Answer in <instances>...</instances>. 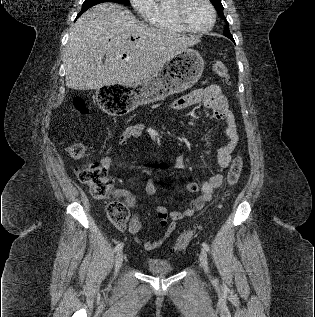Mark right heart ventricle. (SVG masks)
I'll list each match as a JSON object with an SVG mask.
<instances>
[{
  "mask_svg": "<svg viewBox=\"0 0 315 317\" xmlns=\"http://www.w3.org/2000/svg\"><path fill=\"white\" fill-rule=\"evenodd\" d=\"M175 0H153L151 9L146 16L147 22L157 29L174 32L186 31L179 25L174 16Z\"/></svg>",
  "mask_w": 315,
  "mask_h": 317,
  "instance_id": "right-heart-ventricle-1",
  "label": "right heart ventricle"
}]
</instances>
